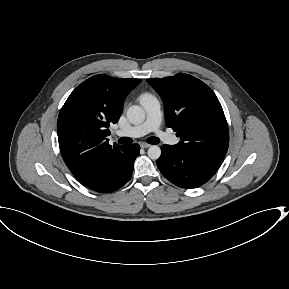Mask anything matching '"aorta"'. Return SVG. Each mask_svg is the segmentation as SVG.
Instances as JSON below:
<instances>
[{
    "label": "aorta",
    "instance_id": "obj_1",
    "mask_svg": "<svg viewBox=\"0 0 289 289\" xmlns=\"http://www.w3.org/2000/svg\"><path fill=\"white\" fill-rule=\"evenodd\" d=\"M127 119L130 123L138 125L145 120V111L141 106L133 105L127 110ZM148 156L152 160H157L161 156V149L157 145H153L148 149Z\"/></svg>",
    "mask_w": 289,
    "mask_h": 289
}]
</instances>
